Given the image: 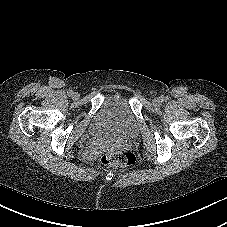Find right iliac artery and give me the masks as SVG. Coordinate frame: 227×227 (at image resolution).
Segmentation results:
<instances>
[{
	"mask_svg": "<svg viewBox=\"0 0 227 227\" xmlns=\"http://www.w3.org/2000/svg\"><path fill=\"white\" fill-rule=\"evenodd\" d=\"M67 94H68L69 96H72V95L74 94V92H73L72 90H69V91L67 92Z\"/></svg>",
	"mask_w": 227,
	"mask_h": 227,
	"instance_id": "obj_1",
	"label": "right iliac artery"
}]
</instances>
